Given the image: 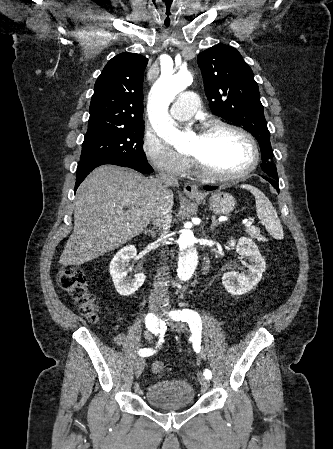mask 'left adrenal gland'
Instances as JSON below:
<instances>
[{
  "label": "left adrenal gland",
  "instance_id": "a2214340",
  "mask_svg": "<svg viewBox=\"0 0 333 449\" xmlns=\"http://www.w3.org/2000/svg\"><path fill=\"white\" fill-rule=\"evenodd\" d=\"M218 225V222H217V220H216V218H215V216L212 218V224H211V226H210V230L211 231H213L214 229H215V226H217Z\"/></svg>",
  "mask_w": 333,
  "mask_h": 449
}]
</instances>
